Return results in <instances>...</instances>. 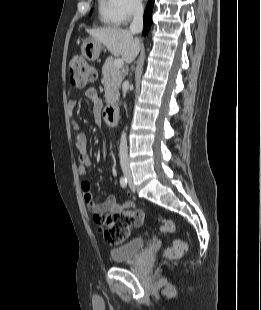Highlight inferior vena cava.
I'll use <instances>...</instances> for the list:
<instances>
[{"mask_svg": "<svg viewBox=\"0 0 261 310\" xmlns=\"http://www.w3.org/2000/svg\"><path fill=\"white\" fill-rule=\"evenodd\" d=\"M143 29V6L140 2H136L134 5L133 21L130 25V32L133 34L140 33ZM125 96V94H124ZM120 164L122 167L129 166L128 148L126 134L123 133L121 136L120 147H119Z\"/></svg>", "mask_w": 261, "mask_h": 310, "instance_id": "1", "label": "inferior vena cava"}]
</instances>
